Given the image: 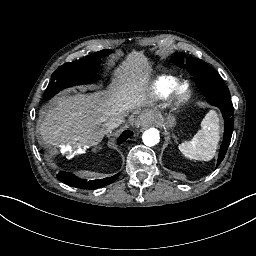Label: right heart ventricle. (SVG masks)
Returning a JSON list of instances; mask_svg holds the SVG:
<instances>
[{"label":"right heart ventricle","mask_w":256,"mask_h":256,"mask_svg":"<svg viewBox=\"0 0 256 256\" xmlns=\"http://www.w3.org/2000/svg\"><path fill=\"white\" fill-rule=\"evenodd\" d=\"M178 78L174 75L160 74L142 87L143 102L161 103L170 99Z\"/></svg>","instance_id":"right-heart-ventricle-1"}]
</instances>
